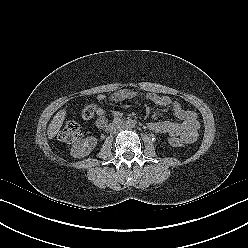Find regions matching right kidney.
<instances>
[{"mask_svg":"<svg viewBox=\"0 0 248 248\" xmlns=\"http://www.w3.org/2000/svg\"><path fill=\"white\" fill-rule=\"evenodd\" d=\"M97 139L93 136L87 137L75 143L71 149V155L74 158H82L88 156L90 152L95 148Z\"/></svg>","mask_w":248,"mask_h":248,"instance_id":"ca27d5eb","label":"right kidney"}]
</instances>
